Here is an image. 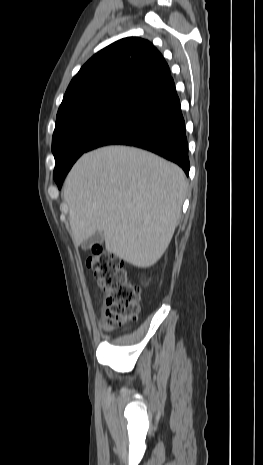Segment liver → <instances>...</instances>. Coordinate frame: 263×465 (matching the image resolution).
<instances>
[{"label":"liver","mask_w":263,"mask_h":465,"mask_svg":"<svg viewBox=\"0 0 263 465\" xmlns=\"http://www.w3.org/2000/svg\"><path fill=\"white\" fill-rule=\"evenodd\" d=\"M187 186L180 167L141 149L84 154L63 190L74 243L102 231L107 251L136 267L155 264L170 244Z\"/></svg>","instance_id":"1"}]
</instances>
